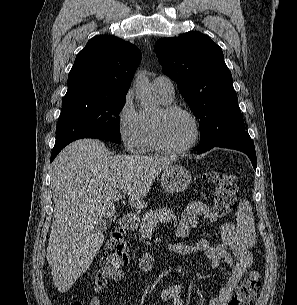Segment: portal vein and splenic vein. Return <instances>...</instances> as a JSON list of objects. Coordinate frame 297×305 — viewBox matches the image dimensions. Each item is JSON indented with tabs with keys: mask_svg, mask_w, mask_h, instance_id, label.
Here are the masks:
<instances>
[{
	"mask_svg": "<svg viewBox=\"0 0 297 305\" xmlns=\"http://www.w3.org/2000/svg\"><path fill=\"white\" fill-rule=\"evenodd\" d=\"M122 198L121 193H117L114 195V201H119Z\"/></svg>",
	"mask_w": 297,
	"mask_h": 305,
	"instance_id": "1",
	"label": "portal vein and splenic vein"
}]
</instances>
